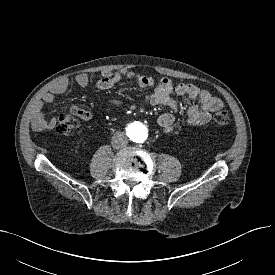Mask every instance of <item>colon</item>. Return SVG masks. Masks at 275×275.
Segmentation results:
<instances>
[{
  "instance_id": "colon-1",
  "label": "colon",
  "mask_w": 275,
  "mask_h": 275,
  "mask_svg": "<svg viewBox=\"0 0 275 275\" xmlns=\"http://www.w3.org/2000/svg\"><path fill=\"white\" fill-rule=\"evenodd\" d=\"M74 114H62L59 117L57 124V132L60 135L68 136L74 133L78 127L79 122ZM214 120L219 125H227L230 122V115L225 110H220L214 115Z\"/></svg>"
}]
</instances>
